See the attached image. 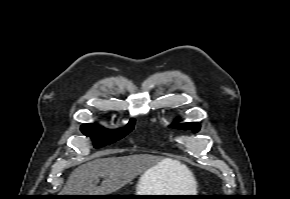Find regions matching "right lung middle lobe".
I'll list each match as a JSON object with an SVG mask.
<instances>
[{"mask_svg":"<svg viewBox=\"0 0 290 199\" xmlns=\"http://www.w3.org/2000/svg\"><path fill=\"white\" fill-rule=\"evenodd\" d=\"M134 119H130L125 128L117 130H107L93 124H84L81 131L94 140V147L100 148L112 144L132 131Z\"/></svg>","mask_w":290,"mask_h":199,"instance_id":"1","label":"right lung middle lobe"}]
</instances>
